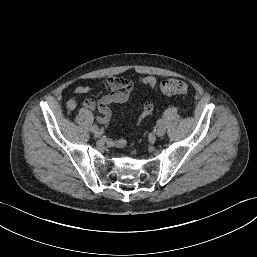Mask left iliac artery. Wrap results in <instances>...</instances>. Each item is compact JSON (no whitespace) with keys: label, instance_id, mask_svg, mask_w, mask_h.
<instances>
[{"label":"left iliac artery","instance_id":"1","mask_svg":"<svg viewBox=\"0 0 257 257\" xmlns=\"http://www.w3.org/2000/svg\"><path fill=\"white\" fill-rule=\"evenodd\" d=\"M162 124H163V120H162V119H158V120H157V125L160 126V125H162Z\"/></svg>","mask_w":257,"mask_h":257}]
</instances>
